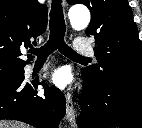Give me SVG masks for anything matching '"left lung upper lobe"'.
Masks as SVG:
<instances>
[{"label":"left lung upper lobe","instance_id":"left-lung-upper-lobe-1","mask_svg":"<svg viewBox=\"0 0 142 128\" xmlns=\"http://www.w3.org/2000/svg\"><path fill=\"white\" fill-rule=\"evenodd\" d=\"M91 12L86 35L95 39L98 65L84 68L99 82L132 81L142 84V44L127 0H68Z\"/></svg>","mask_w":142,"mask_h":128}]
</instances>
